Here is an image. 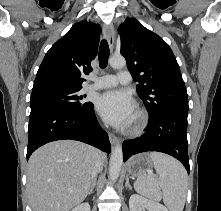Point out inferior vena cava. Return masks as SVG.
Instances as JSON below:
<instances>
[{
	"label": "inferior vena cava",
	"mask_w": 221,
	"mask_h": 211,
	"mask_svg": "<svg viewBox=\"0 0 221 211\" xmlns=\"http://www.w3.org/2000/svg\"><path fill=\"white\" fill-rule=\"evenodd\" d=\"M95 155H96V161L93 169L94 180H96L97 174L102 170V164L100 162V156L102 155V153L99 150L95 149Z\"/></svg>",
	"instance_id": "1"
}]
</instances>
